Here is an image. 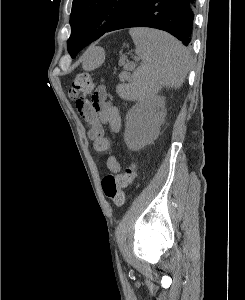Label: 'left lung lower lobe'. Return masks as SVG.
<instances>
[{
    "label": "left lung lower lobe",
    "mask_w": 245,
    "mask_h": 300,
    "mask_svg": "<svg viewBox=\"0 0 245 300\" xmlns=\"http://www.w3.org/2000/svg\"><path fill=\"white\" fill-rule=\"evenodd\" d=\"M195 3L196 0H135L106 32L130 27H151L169 32L185 46H189L192 40ZM99 37L101 36L90 38L76 51Z\"/></svg>",
    "instance_id": "1"
}]
</instances>
